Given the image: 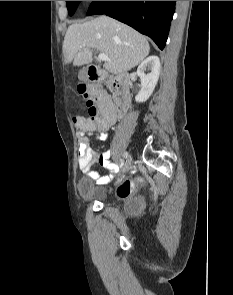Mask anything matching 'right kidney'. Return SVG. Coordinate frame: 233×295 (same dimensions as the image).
<instances>
[{"label": "right kidney", "mask_w": 233, "mask_h": 295, "mask_svg": "<svg viewBox=\"0 0 233 295\" xmlns=\"http://www.w3.org/2000/svg\"><path fill=\"white\" fill-rule=\"evenodd\" d=\"M146 72H148L146 74ZM160 74V60L157 56H149L137 68L141 81V90L135 97L136 102H145L153 93Z\"/></svg>", "instance_id": "obj_1"}]
</instances>
